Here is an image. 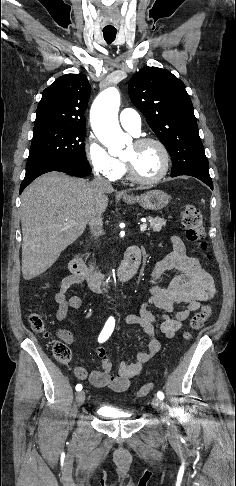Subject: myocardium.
<instances>
[{
    "instance_id": "1",
    "label": "myocardium",
    "mask_w": 236,
    "mask_h": 486,
    "mask_svg": "<svg viewBox=\"0 0 236 486\" xmlns=\"http://www.w3.org/2000/svg\"><path fill=\"white\" fill-rule=\"evenodd\" d=\"M134 144L136 146H143L147 144L156 145L161 151L163 157V166L161 171L156 176L152 178H141L134 172L131 164L126 160H123L125 164L127 177L129 178V180L141 185H151L161 181L167 175L170 168V162H171L170 153L166 145L159 139L153 137H145V138L137 139L134 142Z\"/></svg>"
}]
</instances>
